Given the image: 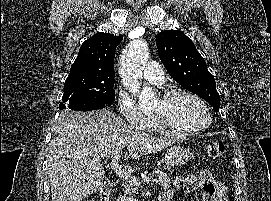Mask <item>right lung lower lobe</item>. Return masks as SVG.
Segmentation results:
<instances>
[{
	"label": "right lung lower lobe",
	"instance_id": "obj_1",
	"mask_svg": "<svg viewBox=\"0 0 271 201\" xmlns=\"http://www.w3.org/2000/svg\"><path fill=\"white\" fill-rule=\"evenodd\" d=\"M82 104V102L78 101L72 104H66L61 102L59 105V109L63 110L66 108H70L71 110H76V111H91V110H97V109H102L105 108L106 106H97V107H81L80 105Z\"/></svg>",
	"mask_w": 271,
	"mask_h": 201
}]
</instances>
